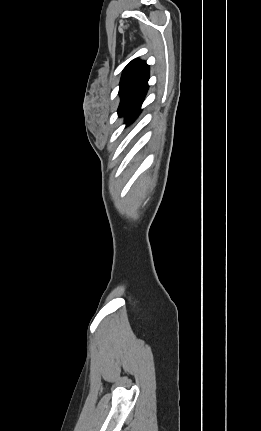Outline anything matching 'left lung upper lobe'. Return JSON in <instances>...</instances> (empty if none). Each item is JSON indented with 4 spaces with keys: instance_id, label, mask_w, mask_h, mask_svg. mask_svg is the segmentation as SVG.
I'll list each match as a JSON object with an SVG mask.
<instances>
[{
    "instance_id": "obj_1",
    "label": "left lung upper lobe",
    "mask_w": 261,
    "mask_h": 431,
    "mask_svg": "<svg viewBox=\"0 0 261 431\" xmlns=\"http://www.w3.org/2000/svg\"><path fill=\"white\" fill-rule=\"evenodd\" d=\"M149 79V66L139 59L132 60L123 70L119 95L118 116H124L128 107Z\"/></svg>"
}]
</instances>
